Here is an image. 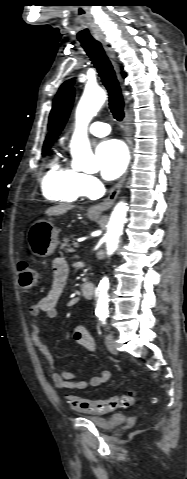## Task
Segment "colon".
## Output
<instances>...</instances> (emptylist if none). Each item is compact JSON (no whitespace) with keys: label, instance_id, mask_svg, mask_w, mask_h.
<instances>
[{"label":"colon","instance_id":"5ec220e1","mask_svg":"<svg viewBox=\"0 0 187 479\" xmlns=\"http://www.w3.org/2000/svg\"><path fill=\"white\" fill-rule=\"evenodd\" d=\"M19 285L22 290L28 291L39 283V273L27 262L20 261L17 265ZM71 408L82 413L106 414L119 407H126L136 402V394L133 391L122 395H114L106 399L91 400L82 399L74 395H68Z\"/></svg>","mask_w":187,"mask_h":479}]
</instances>
